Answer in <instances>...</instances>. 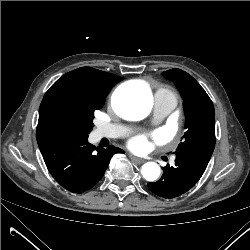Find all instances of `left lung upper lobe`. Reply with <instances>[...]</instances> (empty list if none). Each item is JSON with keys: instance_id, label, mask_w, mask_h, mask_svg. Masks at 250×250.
<instances>
[{"instance_id": "obj_1", "label": "left lung upper lobe", "mask_w": 250, "mask_h": 250, "mask_svg": "<svg viewBox=\"0 0 250 250\" xmlns=\"http://www.w3.org/2000/svg\"><path fill=\"white\" fill-rule=\"evenodd\" d=\"M162 74L175 83L183 98L187 131L175 154L190 147L215 144V111L205 90L180 69H171Z\"/></svg>"}]
</instances>
